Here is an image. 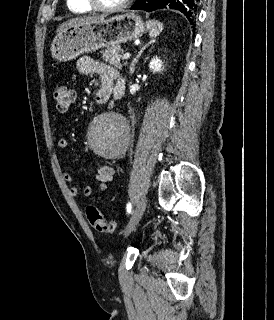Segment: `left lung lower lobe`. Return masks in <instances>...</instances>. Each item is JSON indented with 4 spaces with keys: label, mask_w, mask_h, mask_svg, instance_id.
Wrapping results in <instances>:
<instances>
[{
    "label": "left lung lower lobe",
    "mask_w": 274,
    "mask_h": 320,
    "mask_svg": "<svg viewBox=\"0 0 274 320\" xmlns=\"http://www.w3.org/2000/svg\"><path fill=\"white\" fill-rule=\"evenodd\" d=\"M199 0H137L131 7L134 10H144L147 12L169 8L182 12L189 22L193 24L198 10Z\"/></svg>",
    "instance_id": "0a47b994"
}]
</instances>
